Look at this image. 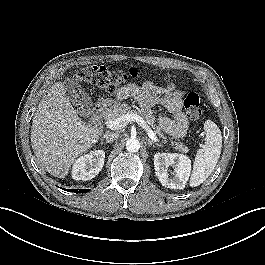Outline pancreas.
Segmentation results:
<instances>
[{
    "label": "pancreas",
    "mask_w": 265,
    "mask_h": 265,
    "mask_svg": "<svg viewBox=\"0 0 265 265\" xmlns=\"http://www.w3.org/2000/svg\"><path fill=\"white\" fill-rule=\"evenodd\" d=\"M134 109H132L128 104H121L119 106H117L107 117L106 120H114L122 115H125L127 113H139L142 115L143 119H145V121L150 124L153 129L155 134H157L160 138L163 139V141L166 143L167 139L164 136V134L162 133V129L161 127L155 125L156 122V118L154 117V115L152 114L151 110H144V109H139L136 106H133ZM171 145L173 146L174 149L179 150L182 153H187L189 150L187 148V146L184 145V143L182 142H178V141H171Z\"/></svg>",
    "instance_id": "cf45deb5"
}]
</instances>
